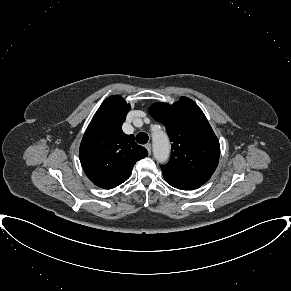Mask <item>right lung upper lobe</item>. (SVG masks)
<instances>
[{"label":"right lung upper lobe","instance_id":"right-lung-upper-lobe-1","mask_svg":"<svg viewBox=\"0 0 291 291\" xmlns=\"http://www.w3.org/2000/svg\"><path fill=\"white\" fill-rule=\"evenodd\" d=\"M130 105L119 95L107 98L95 113L80 145V161L87 177L104 189L125 182L135 163L148 155L133 135L122 131Z\"/></svg>","mask_w":291,"mask_h":291}]
</instances>
